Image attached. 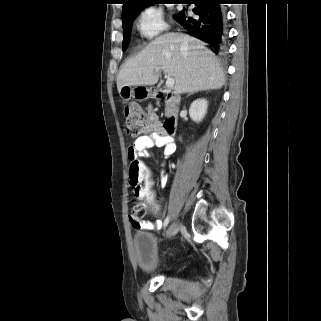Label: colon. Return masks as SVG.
Returning a JSON list of instances; mask_svg holds the SVG:
<instances>
[{
  "instance_id": "1",
  "label": "colon",
  "mask_w": 321,
  "mask_h": 321,
  "mask_svg": "<svg viewBox=\"0 0 321 321\" xmlns=\"http://www.w3.org/2000/svg\"><path fill=\"white\" fill-rule=\"evenodd\" d=\"M125 128L127 133L138 136L147 131L151 126L153 117L143 111L137 104H128L124 109ZM133 150V146L130 147ZM129 179L135 191L136 198H144L145 207L148 212H163L164 206L157 203V192L153 191L154 181L150 180L147 167L136 156L130 158ZM144 215V210L134 205L129 218L133 224H138Z\"/></svg>"
}]
</instances>
